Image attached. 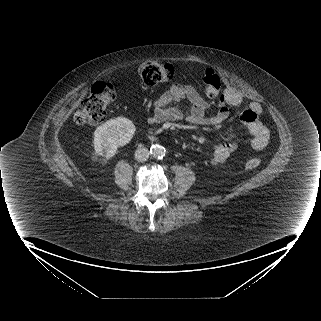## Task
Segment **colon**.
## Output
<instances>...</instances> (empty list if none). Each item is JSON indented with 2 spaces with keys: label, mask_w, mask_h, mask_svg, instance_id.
Returning <instances> with one entry per match:
<instances>
[{
  "label": "colon",
  "mask_w": 321,
  "mask_h": 321,
  "mask_svg": "<svg viewBox=\"0 0 321 321\" xmlns=\"http://www.w3.org/2000/svg\"><path fill=\"white\" fill-rule=\"evenodd\" d=\"M139 76L149 86H155L169 81L174 75V68L170 63H146L140 66ZM205 93L208 97H217L221 92V81L215 70L208 68L202 74ZM115 97L114 85L110 82H96L88 95L81 100L74 113V120L78 125L101 122L107 109ZM258 157H250L244 167L254 170L260 166Z\"/></svg>",
  "instance_id": "obj_1"
}]
</instances>
